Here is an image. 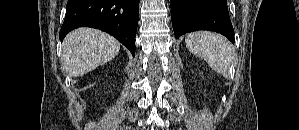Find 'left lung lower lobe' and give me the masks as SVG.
<instances>
[{
    "label": "left lung lower lobe",
    "mask_w": 299,
    "mask_h": 130,
    "mask_svg": "<svg viewBox=\"0 0 299 130\" xmlns=\"http://www.w3.org/2000/svg\"><path fill=\"white\" fill-rule=\"evenodd\" d=\"M171 18L176 38L192 31L210 30L234 43L226 0H171Z\"/></svg>",
    "instance_id": "obj_1"
}]
</instances>
